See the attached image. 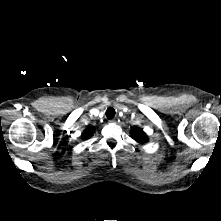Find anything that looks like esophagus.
I'll use <instances>...</instances> for the list:
<instances>
[{"instance_id": "esophagus-1", "label": "esophagus", "mask_w": 221, "mask_h": 221, "mask_svg": "<svg viewBox=\"0 0 221 221\" xmlns=\"http://www.w3.org/2000/svg\"><path fill=\"white\" fill-rule=\"evenodd\" d=\"M109 122L115 123L116 121H115V119H111Z\"/></svg>"}]
</instances>
